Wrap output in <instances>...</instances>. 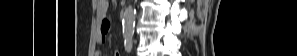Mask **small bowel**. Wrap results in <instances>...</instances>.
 Returning a JSON list of instances; mask_svg holds the SVG:
<instances>
[{
	"label": "small bowel",
	"mask_w": 297,
	"mask_h": 56,
	"mask_svg": "<svg viewBox=\"0 0 297 56\" xmlns=\"http://www.w3.org/2000/svg\"><path fill=\"white\" fill-rule=\"evenodd\" d=\"M107 11H108V2L105 0L98 1V16L101 20L100 33H99L100 43H104L106 41L107 34L110 29V22L107 19ZM115 56H120V54L116 52Z\"/></svg>",
	"instance_id": "1"
}]
</instances>
